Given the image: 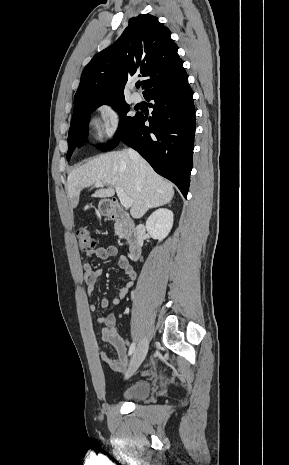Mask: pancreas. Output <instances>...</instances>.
Returning <instances> with one entry per match:
<instances>
[{"mask_svg": "<svg viewBox=\"0 0 289 465\" xmlns=\"http://www.w3.org/2000/svg\"><path fill=\"white\" fill-rule=\"evenodd\" d=\"M114 228H115V233L116 235L119 236V238H125V234L123 233V230L118 223L115 224Z\"/></svg>", "mask_w": 289, "mask_h": 465, "instance_id": "cf45deb5", "label": "pancreas"}]
</instances>
